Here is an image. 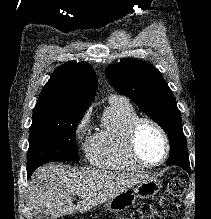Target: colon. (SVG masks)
I'll return each instance as SVG.
<instances>
[{
    "instance_id": "obj_1",
    "label": "colon",
    "mask_w": 211,
    "mask_h": 219,
    "mask_svg": "<svg viewBox=\"0 0 211 219\" xmlns=\"http://www.w3.org/2000/svg\"><path fill=\"white\" fill-rule=\"evenodd\" d=\"M183 192L184 187L181 179L174 178L167 184L161 196L143 204L139 210L127 219H162L175 217L179 212Z\"/></svg>"
}]
</instances>
